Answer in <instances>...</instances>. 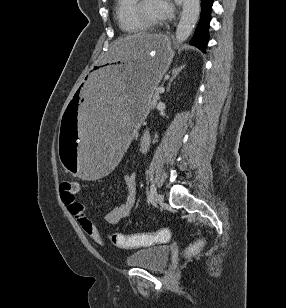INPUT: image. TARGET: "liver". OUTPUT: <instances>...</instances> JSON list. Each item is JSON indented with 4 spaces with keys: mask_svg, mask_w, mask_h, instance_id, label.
I'll return each instance as SVG.
<instances>
[{
    "mask_svg": "<svg viewBox=\"0 0 286 308\" xmlns=\"http://www.w3.org/2000/svg\"><path fill=\"white\" fill-rule=\"evenodd\" d=\"M145 35H146V34H141V33H139V34H135V35L128 36V37L123 38V39H119L118 41H116V42L114 43V45L112 46L111 51H112L119 43H121V42L124 41V40L132 39V38H136V37H142V36H145Z\"/></svg>",
    "mask_w": 286,
    "mask_h": 308,
    "instance_id": "obj_1",
    "label": "liver"
}]
</instances>
